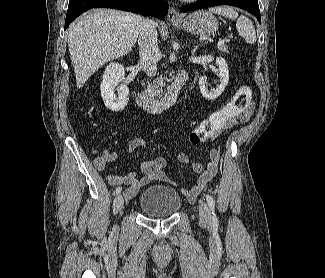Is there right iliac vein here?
<instances>
[{
	"label": "right iliac vein",
	"instance_id": "63e3f726",
	"mask_svg": "<svg viewBox=\"0 0 325 278\" xmlns=\"http://www.w3.org/2000/svg\"><path fill=\"white\" fill-rule=\"evenodd\" d=\"M124 204V199L123 196L118 194L115 199H114V203H113V209L114 212L117 213L118 211H120L123 207Z\"/></svg>",
	"mask_w": 325,
	"mask_h": 278
}]
</instances>
